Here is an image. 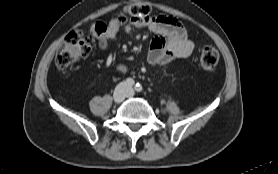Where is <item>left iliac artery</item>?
<instances>
[{
  "label": "left iliac artery",
  "mask_w": 278,
  "mask_h": 174,
  "mask_svg": "<svg viewBox=\"0 0 278 174\" xmlns=\"http://www.w3.org/2000/svg\"><path fill=\"white\" fill-rule=\"evenodd\" d=\"M135 90H136L137 92H141V91H142V86H141L139 83H137V84L135 85Z\"/></svg>",
  "instance_id": "obj_1"
}]
</instances>
